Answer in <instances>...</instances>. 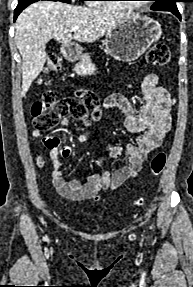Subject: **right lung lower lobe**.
Wrapping results in <instances>:
<instances>
[{
	"mask_svg": "<svg viewBox=\"0 0 193 287\" xmlns=\"http://www.w3.org/2000/svg\"><path fill=\"white\" fill-rule=\"evenodd\" d=\"M37 1L39 0H19L18 5L14 11V21L16 20V18L22 12L23 9H25L27 6Z\"/></svg>",
	"mask_w": 193,
	"mask_h": 287,
	"instance_id": "1",
	"label": "right lung lower lobe"
}]
</instances>
